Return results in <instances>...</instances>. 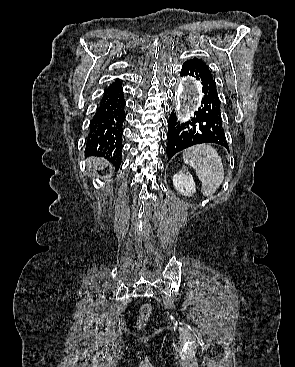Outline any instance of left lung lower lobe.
<instances>
[{"label": "left lung lower lobe", "mask_w": 295, "mask_h": 367, "mask_svg": "<svg viewBox=\"0 0 295 367\" xmlns=\"http://www.w3.org/2000/svg\"><path fill=\"white\" fill-rule=\"evenodd\" d=\"M181 76H193L202 84L204 96L194 117L179 125L174 112L168 121V161L179 151L200 143H216L228 149L221 116V102L215 81L208 66L199 59H191L182 65Z\"/></svg>", "instance_id": "left-lung-lower-lobe-1"}]
</instances>
